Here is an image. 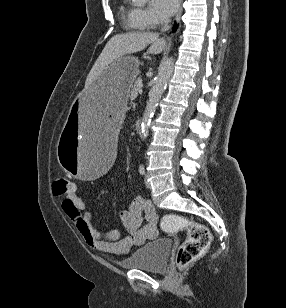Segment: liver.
Here are the masks:
<instances>
[{
  "label": "liver",
  "mask_w": 286,
  "mask_h": 308,
  "mask_svg": "<svg viewBox=\"0 0 286 308\" xmlns=\"http://www.w3.org/2000/svg\"><path fill=\"white\" fill-rule=\"evenodd\" d=\"M149 45L147 54H160L166 49V41L160 38L158 33L130 32L113 36L88 74L85 88H88L113 62L127 54L140 52Z\"/></svg>",
  "instance_id": "liver-1"
}]
</instances>
